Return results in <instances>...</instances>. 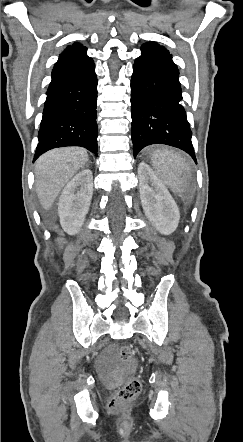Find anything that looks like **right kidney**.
Wrapping results in <instances>:
<instances>
[{
	"instance_id": "obj_1",
	"label": "right kidney",
	"mask_w": 243,
	"mask_h": 442,
	"mask_svg": "<svg viewBox=\"0 0 243 442\" xmlns=\"http://www.w3.org/2000/svg\"><path fill=\"white\" fill-rule=\"evenodd\" d=\"M93 195V176L84 169L64 187L58 203L62 228L68 234H76L84 223Z\"/></svg>"
}]
</instances>
